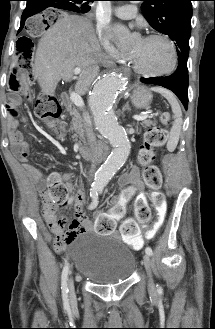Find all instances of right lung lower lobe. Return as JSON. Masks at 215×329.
<instances>
[{
  "mask_svg": "<svg viewBox=\"0 0 215 329\" xmlns=\"http://www.w3.org/2000/svg\"><path fill=\"white\" fill-rule=\"evenodd\" d=\"M45 4H48L58 9L72 11L70 7L67 6L65 1L54 2V1H46V0H27V5L21 17V25L18 32L22 30V28L24 27V23L28 17L33 16L46 9Z\"/></svg>",
  "mask_w": 215,
  "mask_h": 329,
  "instance_id": "obj_1",
  "label": "right lung lower lobe"
}]
</instances>
